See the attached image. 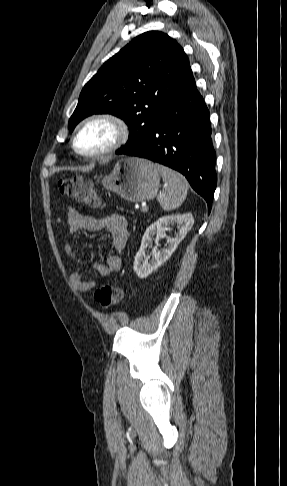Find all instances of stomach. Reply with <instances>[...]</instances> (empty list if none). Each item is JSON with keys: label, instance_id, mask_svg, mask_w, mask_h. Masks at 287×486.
I'll use <instances>...</instances> for the list:
<instances>
[{"label": "stomach", "instance_id": "0dacf381", "mask_svg": "<svg viewBox=\"0 0 287 486\" xmlns=\"http://www.w3.org/2000/svg\"><path fill=\"white\" fill-rule=\"evenodd\" d=\"M161 173L157 164L138 157L120 159L113 171L102 179V185L130 202L153 199L160 187Z\"/></svg>", "mask_w": 287, "mask_h": 486}]
</instances>
